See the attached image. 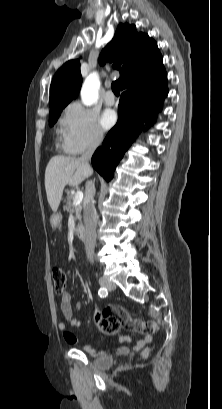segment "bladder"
Wrapping results in <instances>:
<instances>
[{
  "label": "bladder",
  "mask_w": 222,
  "mask_h": 409,
  "mask_svg": "<svg viewBox=\"0 0 222 409\" xmlns=\"http://www.w3.org/2000/svg\"><path fill=\"white\" fill-rule=\"evenodd\" d=\"M114 363V357L111 355H103L98 357L95 362L94 365L96 368L100 369V370H105L108 369L110 366H112V364Z\"/></svg>",
  "instance_id": "31cf9c89"
}]
</instances>
